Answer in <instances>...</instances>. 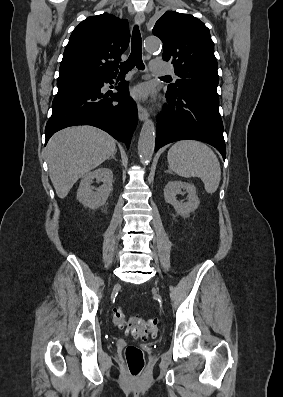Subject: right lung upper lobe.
Segmentation results:
<instances>
[{"instance_id": "obj_1", "label": "right lung upper lobe", "mask_w": 283, "mask_h": 397, "mask_svg": "<svg viewBox=\"0 0 283 397\" xmlns=\"http://www.w3.org/2000/svg\"><path fill=\"white\" fill-rule=\"evenodd\" d=\"M129 40L127 20L108 13L88 17L70 36L57 82L94 81L116 75Z\"/></svg>"}]
</instances>
